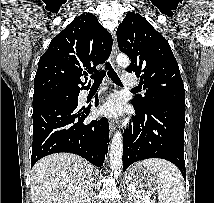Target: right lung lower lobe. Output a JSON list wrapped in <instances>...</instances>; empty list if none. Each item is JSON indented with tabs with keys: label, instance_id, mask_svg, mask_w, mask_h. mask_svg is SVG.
<instances>
[{
	"label": "right lung lower lobe",
	"instance_id": "98d812e1",
	"mask_svg": "<svg viewBox=\"0 0 214 203\" xmlns=\"http://www.w3.org/2000/svg\"><path fill=\"white\" fill-rule=\"evenodd\" d=\"M76 94L75 101H55L33 110L31 167L42 157L58 152L77 154L97 167L103 165L109 145L108 120L103 117L84 124L91 105L79 109Z\"/></svg>",
	"mask_w": 214,
	"mask_h": 203
}]
</instances>
